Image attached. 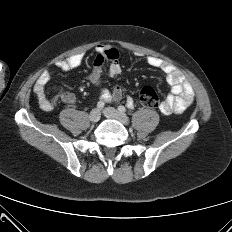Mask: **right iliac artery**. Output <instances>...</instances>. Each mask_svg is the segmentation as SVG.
<instances>
[{
    "label": "right iliac artery",
    "instance_id": "obj_1",
    "mask_svg": "<svg viewBox=\"0 0 232 232\" xmlns=\"http://www.w3.org/2000/svg\"><path fill=\"white\" fill-rule=\"evenodd\" d=\"M104 106H105V103H104L103 101H99V102L97 103V108L100 109V110H101Z\"/></svg>",
    "mask_w": 232,
    "mask_h": 232
}]
</instances>
